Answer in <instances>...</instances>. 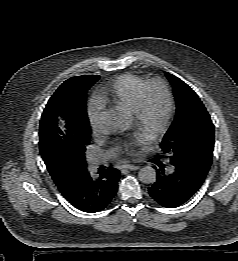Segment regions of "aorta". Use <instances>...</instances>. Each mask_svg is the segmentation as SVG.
Instances as JSON below:
<instances>
[{
  "instance_id": "762f6f07",
  "label": "aorta",
  "mask_w": 238,
  "mask_h": 261,
  "mask_svg": "<svg viewBox=\"0 0 238 261\" xmlns=\"http://www.w3.org/2000/svg\"><path fill=\"white\" fill-rule=\"evenodd\" d=\"M128 127V119L113 112L102 114L99 122V129L104 135L115 134L128 129ZM138 178L145 184L154 183L156 181V171L150 166H145L140 169Z\"/></svg>"
}]
</instances>
